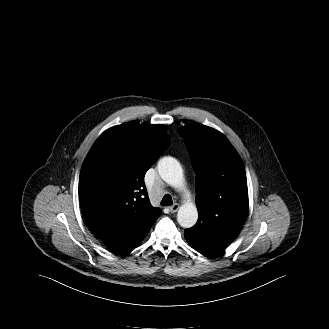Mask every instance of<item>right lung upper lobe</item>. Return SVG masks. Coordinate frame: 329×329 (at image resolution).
Masks as SVG:
<instances>
[{
    "label": "right lung upper lobe",
    "instance_id": "obj_1",
    "mask_svg": "<svg viewBox=\"0 0 329 329\" xmlns=\"http://www.w3.org/2000/svg\"><path fill=\"white\" fill-rule=\"evenodd\" d=\"M169 144L163 125L133 123L95 141L81 168L79 199L88 227L103 243L137 236L161 215L150 204L144 176Z\"/></svg>",
    "mask_w": 329,
    "mask_h": 329
}]
</instances>
